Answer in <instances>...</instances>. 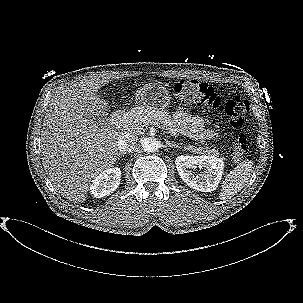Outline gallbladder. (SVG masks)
Segmentation results:
<instances>
[{"label":"gallbladder","instance_id":"gallbladder-1","mask_svg":"<svg viewBox=\"0 0 303 303\" xmlns=\"http://www.w3.org/2000/svg\"><path fill=\"white\" fill-rule=\"evenodd\" d=\"M92 116V115H91ZM92 119L99 125H102L106 121V116L105 115H93Z\"/></svg>","mask_w":303,"mask_h":303}]
</instances>
